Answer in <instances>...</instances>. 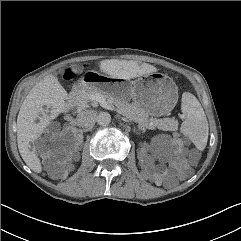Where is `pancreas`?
<instances>
[{
	"label": "pancreas",
	"instance_id": "obj_1",
	"mask_svg": "<svg viewBox=\"0 0 241 241\" xmlns=\"http://www.w3.org/2000/svg\"><path fill=\"white\" fill-rule=\"evenodd\" d=\"M96 97L103 98L109 105H114L117 111L130 120L138 123L140 126L148 129L175 130L178 126V121L174 118H164L159 120H150L148 114L138 108L133 103H128L125 100H117L112 96L103 94L96 90H83L78 95L72 98V102L79 109H85L90 102L97 101Z\"/></svg>",
	"mask_w": 241,
	"mask_h": 241
}]
</instances>
